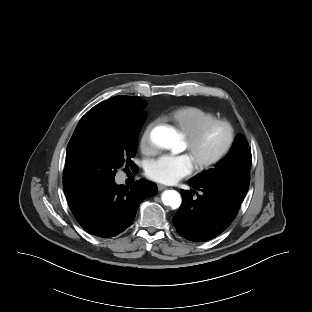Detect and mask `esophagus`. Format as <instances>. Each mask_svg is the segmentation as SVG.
Wrapping results in <instances>:
<instances>
[{"label": "esophagus", "mask_w": 312, "mask_h": 312, "mask_svg": "<svg viewBox=\"0 0 312 312\" xmlns=\"http://www.w3.org/2000/svg\"><path fill=\"white\" fill-rule=\"evenodd\" d=\"M157 187H158V190H159V191H162V190H164V189H167V187H166L165 185H162V184H158Z\"/></svg>", "instance_id": "1"}]
</instances>
